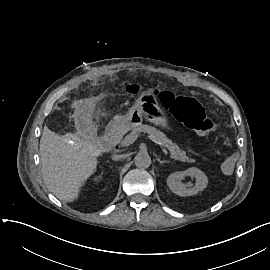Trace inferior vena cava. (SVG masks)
I'll return each instance as SVG.
<instances>
[{
	"label": "inferior vena cava",
	"instance_id": "1",
	"mask_svg": "<svg viewBox=\"0 0 270 270\" xmlns=\"http://www.w3.org/2000/svg\"><path fill=\"white\" fill-rule=\"evenodd\" d=\"M126 157H128V154H121V155L115 154L112 156V159L117 161V160L125 159Z\"/></svg>",
	"mask_w": 270,
	"mask_h": 270
}]
</instances>
